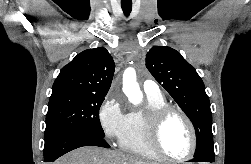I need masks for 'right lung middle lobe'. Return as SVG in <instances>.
<instances>
[{
    "label": "right lung middle lobe",
    "mask_w": 251,
    "mask_h": 164,
    "mask_svg": "<svg viewBox=\"0 0 251 164\" xmlns=\"http://www.w3.org/2000/svg\"><path fill=\"white\" fill-rule=\"evenodd\" d=\"M105 95L52 93L46 115L45 137L62 130L89 132L104 138L99 109Z\"/></svg>",
    "instance_id": "right-lung-middle-lobe-1"
}]
</instances>
